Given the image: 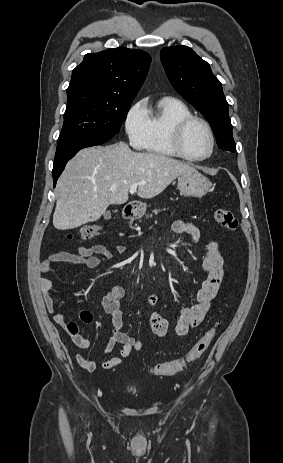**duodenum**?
<instances>
[{
  "label": "duodenum",
  "mask_w": 283,
  "mask_h": 463,
  "mask_svg": "<svg viewBox=\"0 0 283 463\" xmlns=\"http://www.w3.org/2000/svg\"><path fill=\"white\" fill-rule=\"evenodd\" d=\"M137 204L136 203H130L128 204L123 212V216L125 219H133L137 216Z\"/></svg>",
  "instance_id": "410a0bca"
}]
</instances>
